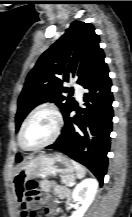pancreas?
<instances>
[{
    "mask_svg": "<svg viewBox=\"0 0 132 217\" xmlns=\"http://www.w3.org/2000/svg\"><path fill=\"white\" fill-rule=\"evenodd\" d=\"M61 182L66 186H70V183L75 182V177L73 175H61Z\"/></svg>",
    "mask_w": 132,
    "mask_h": 217,
    "instance_id": "cf45deb5",
    "label": "pancreas"
}]
</instances>
